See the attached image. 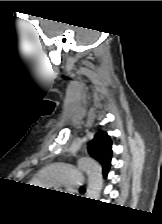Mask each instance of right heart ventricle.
Wrapping results in <instances>:
<instances>
[{"mask_svg":"<svg viewBox=\"0 0 162 224\" xmlns=\"http://www.w3.org/2000/svg\"><path fill=\"white\" fill-rule=\"evenodd\" d=\"M34 184H35V185H43V183H41L39 180H37V181L35 180V181H34Z\"/></svg>","mask_w":162,"mask_h":224,"instance_id":"obj_1","label":"right heart ventricle"}]
</instances>
